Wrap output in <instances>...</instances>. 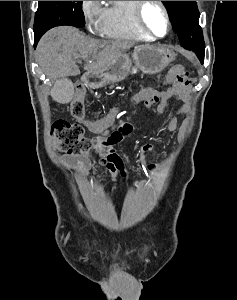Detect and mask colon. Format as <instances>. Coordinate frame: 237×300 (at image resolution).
<instances>
[{
	"label": "colon",
	"mask_w": 237,
	"mask_h": 300,
	"mask_svg": "<svg viewBox=\"0 0 237 300\" xmlns=\"http://www.w3.org/2000/svg\"><path fill=\"white\" fill-rule=\"evenodd\" d=\"M175 75L174 85L188 86L192 83L187 70L178 65L173 68ZM164 91L157 90L143 99L147 107H151L160 101ZM85 87L81 84L76 86L75 95L71 101L70 111L76 119H83L85 113ZM134 122L120 121L114 124L110 131H106L100 136L90 139L84 135L83 127L76 123L67 121L56 122L51 131V138L56 149L65 152L71 156H82L88 154L91 150L112 149L122 139L134 131Z\"/></svg>",
	"instance_id": "1"
}]
</instances>
